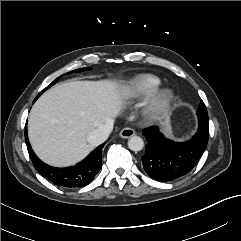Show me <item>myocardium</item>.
Instances as JSON below:
<instances>
[{"instance_id":"myocardium-1","label":"myocardium","mask_w":241,"mask_h":241,"mask_svg":"<svg viewBox=\"0 0 241 241\" xmlns=\"http://www.w3.org/2000/svg\"><path fill=\"white\" fill-rule=\"evenodd\" d=\"M175 95L168 88L157 87L146 98L145 111L152 119L163 117L171 108Z\"/></svg>"}]
</instances>
